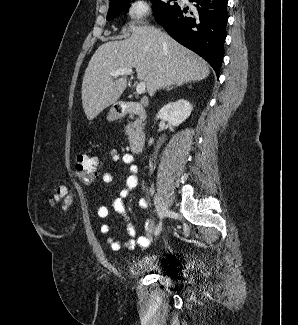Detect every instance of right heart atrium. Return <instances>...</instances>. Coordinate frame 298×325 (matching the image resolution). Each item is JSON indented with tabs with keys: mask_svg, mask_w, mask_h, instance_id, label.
Masks as SVG:
<instances>
[{
	"mask_svg": "<svg viewBox=\"0 0 298 325\" xmlns=\"http://www.w3.org/2000/svg\"><path fill=\"white\" fill-rule=\"evenodd\" d=\"M148 6L143 2L131 4L127 10V19L130 22H136L146 15Z\"/></svg>",
	"mask_w": 298,
	"mask_h": 325,
	"instance_id": "1",
	"label": "right heart atrium"
}]
</instances>
